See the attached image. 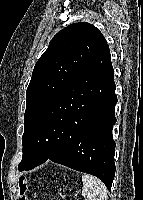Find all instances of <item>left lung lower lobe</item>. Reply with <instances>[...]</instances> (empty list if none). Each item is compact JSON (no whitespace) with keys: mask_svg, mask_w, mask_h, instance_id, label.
I'll list each match as a JSON object with an SVG mask.
<instances>
[{"mask_svg":"<svg viewBox=\"0 0 143 200\" xmlns=\"http://www.w3.org/2000/svg\"><path fill=\"white\" fill-rule=\"evenodd\" d=\"M115 88L106 45L41 115L32 157L24 170L49 159L97 176L111 190L115 176Z\"/></svg>","mask_w":143,"mask_h":200,"instance_id":"obj_1","label":"left lung lower lobe"}]
</instances>
